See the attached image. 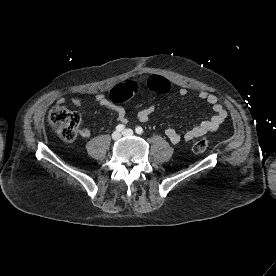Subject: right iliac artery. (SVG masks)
Instances as JSON below:
<instances>
[{
    "label": "right iliac artery",
    "instance_id": "right-iliac-artery-1",
    "mask_svg": "<svg viewBox=\"0 0 276 276\" xmlns=\"http://www.w3.org/2000/svg\"><path fill=\"white\" fill-rule=\"evenodd\" d=\"M125 129V126L123 125V124H119V125H117V127H116V130L118 131V132H121V131H123Z\"/></svg>",
    "mask_w": 276,
    "mask_h": 276
}]
</instances>
